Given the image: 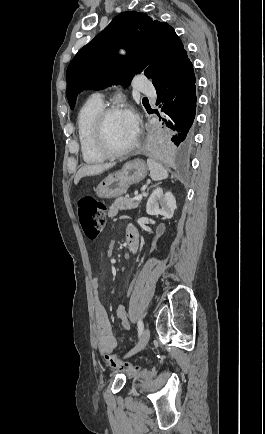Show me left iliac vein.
<instances>
[{"mask_svg":"<svg viewBox=\"0 0 265 434\" xmlns=\"http://www.w3.org/2000/svg\"><path fill=\"white\" fill-rule=\"evenodd\" d=\"M149 339H150V331L148 328H146L142 332V335H141L140 340L137 343V345L129 352V355L135 354V353L139 352L140 350H142L146 346V344L148 343Z\"/></svg>","mask_w":265,"mask_h":434,"instance_id":"left-iliac-vein-1","label":"left iliac vein"}]
</instances>
